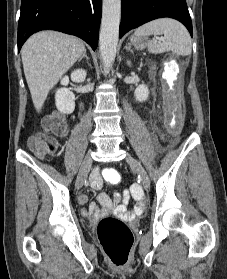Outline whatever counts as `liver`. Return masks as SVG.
Wrapping results in <instances>:
<instances>
[{"label":"liver","mask_w":227,"mask_h":279,"mask_svg":"<svg viewBox=\"0 0 227 279\" xmlns=\"http://www.w3.org/2000/svg\"><path fill=\"white\" fill-rule=\"evenodd\" d=\"M85 46L77 37L56 31H41L23 45L21 57L25 78L37 112L49 91L83 55Z\"/></svg>","instance_id":"6515ba94"}]
</instances>
